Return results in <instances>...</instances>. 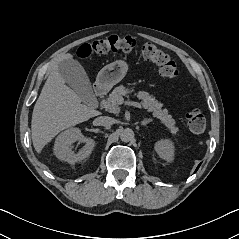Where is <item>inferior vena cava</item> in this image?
Instances as JSON below:
<instances>
[{"instance_id":"inferior-vena-cava-1","label":"inferior vena cava","mask_w":239,"mask_h":239,"mask_svg":"<svg viewBox=\"0 0 239 239\" xmlns=\"http://www.w3.org/2000/svg\"><path fill=\"white\" fill-rule=\"evenodd\" d=\"M96 122L101 126H111L115 123V119L109 116H100L96 118Z\"/></svg>"}]
</instances>
